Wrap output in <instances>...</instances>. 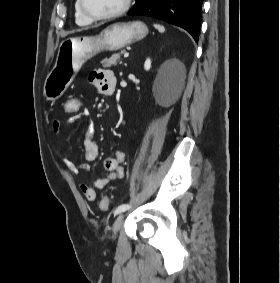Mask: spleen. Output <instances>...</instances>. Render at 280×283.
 Returning <instances> with one entry per match:
<instances>
[{"label":"spleen","instance_id":"obj_1","mask_svg":"<svg viewBox=\"0 0 280 283\" xmlns=\"http://www.w3.org/2000/svg\"><path fill=\"white\" fill-rule=\"evenodd\" d=\"M154 27L160 32L163 33L165 31V27L159 24H154Z\"/></svg>","mask_w":280,"mask_h":283}]
</instances>
